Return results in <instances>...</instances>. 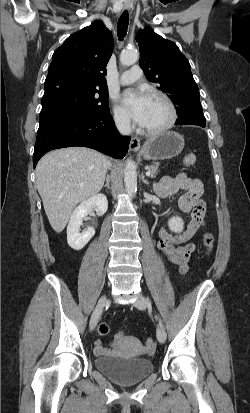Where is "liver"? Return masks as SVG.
<instances>
[{
	"mask_svg": "<svg viewBox=\"0 0 250 413\" xmlns=\"http://www.w3.org/2000/svg\"><path fill=\"white\" fill-rule=\"evenodd\" d=\"M108 158L89 148L69 147L44 155L36 167V184L51 227L64 230L74 207L103 187Z\"/></svg>",
	"mask_w": 250,
	"mask_h": 413,
	"instance_id": "6515ba94",
	"label": "liver"
}]
</instances>
